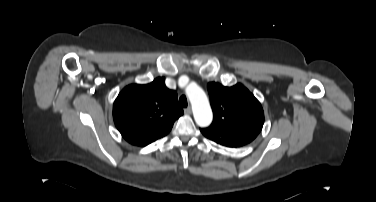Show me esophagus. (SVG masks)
I'll return each mask as SVG.
<instances>
[{"mask_svg":"<svg viewBox=\"0 0 376 202\" xmlns=\"http://www.w3.org/2000/svg\"><path fill=\"white\" fill-rule=\"evenodd\" d=\"M192 112L191 108L190 107H187L184 109V113L187 114V115H190Z\"/></svg>","mask_w":376,"mask_h":202,"instance_id":"1","label":"esophagus"}]
</instances>
